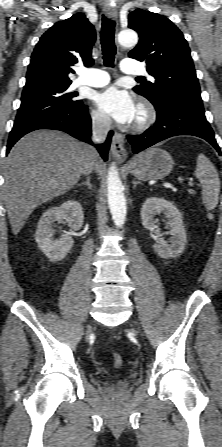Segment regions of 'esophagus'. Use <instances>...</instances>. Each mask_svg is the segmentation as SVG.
Listing matches in <instances>:
<instances>
[{
    "instance_id": "esophagus-1",
    "label": "esophagus",
    "mask_w": 222,
    "mask_h": 447,
    "mask_svg": "<svg viewBox=\"0 0 222 447\" xmlns=\"http://www.w3.org/2000/svg\"><path fill=\"white\" fill-rule=\"evenodd\" d=\"M105 15L108 18L116 19L117 18V12L115 8L109 4H106L104 7ZM111 151L114 157H116L120 162L124 161L127 158V152L124 148V135L115 132L112 143H111Z\"/></svg>"
}]
</instances>
